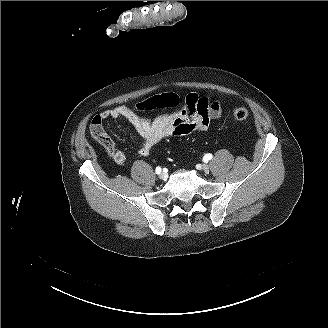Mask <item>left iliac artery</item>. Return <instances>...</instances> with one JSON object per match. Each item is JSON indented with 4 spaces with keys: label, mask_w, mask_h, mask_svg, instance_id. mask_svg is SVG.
<instances>
[{
    "label": "left iliac artery",
    "mask_w": 328,
    "mask_h": 328,
    "mask_svg": "<svg viewBox=\"0 0 328 328\" xmlns=\"http://www.w3.org/2000/svg\"><path fill=\"white\" fill-rule=\"evenodd\" d=\"M206 160H211L212 159V154L208 153L204 156Z\"/></svg>",
    "instance_id": "1"
}]
</instances>
